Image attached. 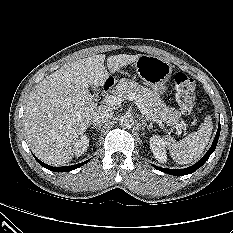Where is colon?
I'll list each match as a JSON object with an SVG mask.
<instances>
[{"label": "colon", "mask_w": 233, "mask_h": 233, "mask_svg": "<svg viewBox=\"0 0 233 233\" xmlns=\"http://www.w3.org/2000/svg\"><path fill=\"white\" fill-rule=\"evenodd\" d=\"M174 83L176 87V101L184 114H190L196 104L195 83L183 71H177L174 74Z\"/></svg>", "instance_id": "1"}]
</instances>
